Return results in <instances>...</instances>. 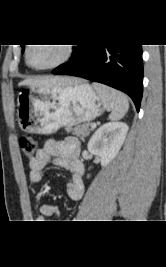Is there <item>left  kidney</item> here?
<instances>
[{
    "mask_svg": "<svg viewBox=\"0 0 166 267\" xmlns=\"http://www.w3.org/2000/svg\"><path fill=\"white\" fill-rule=\"evenodd\" d=\"M128 129L127 124L123 122L104 124L89 140V152L98 155L101 165L107 166L115 158L123 145Z\"/></svg>",
    "mask_w": 166,
    "mask_h": 267,
    "instance_id": "obj_1",
    "label": "left kidney"
}]
</instances>
